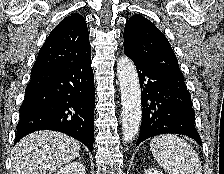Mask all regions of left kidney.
I'll use <instances>...</instances> for the list:
<instances>
[{
  "label": "left kidney",
  "mask_w": 224,
  "mask_h": 174,
  "mask_svg": "<svg viewBox=\"0 0 224 174\" xmlns=\"http://www.w3.org/2000/svg\"><path fill=\"white\" fill-rule=\"evenodd\" d=\"M145 174H163L155 168H149L145 171Z\"/></svg>",
  "instance_id": "obj_1"
}]
</instances>
